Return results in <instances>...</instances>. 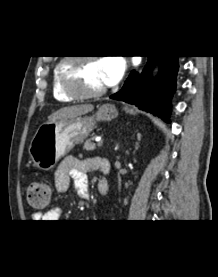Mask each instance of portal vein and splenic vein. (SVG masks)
Returning a JSON list of instances; mask_svg holds the SVG:
<instances>
[{"label": "portal vein and splenic vein", "instance_id": "1", "mask_svg": "<svg viewBox=\"0 0 218 277\" xmlns=\"http://www.w3.org/2000/svg\"><path fill=\"white\" fill-rule=\"evenodd\" d=\"M96 141L99 147L103 145V141L100 138H97Z\"/></svg>", "mask_w": 218, "mask_h": 277}]
</instances>
